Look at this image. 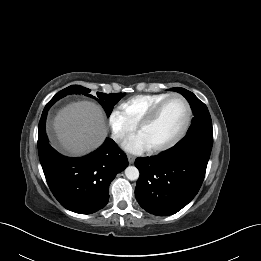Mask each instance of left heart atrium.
<instances>
[{"label": "left heart atrium", "mask_w": 261, "mask_h": 261, "mask_svg": "<svg viewBox=\"0 0 261 261\" xmlns=\"http://www.w3.org/2000/svg\"><path fill=\"white\" fill-rule=\"evenodd\" d=\"M123 148L130 153H141L149 147L143 140L142 136L138 133L125 140Z\"/></svg>", "instance_id": "39dd6f15"}]
</instances>
